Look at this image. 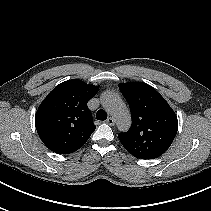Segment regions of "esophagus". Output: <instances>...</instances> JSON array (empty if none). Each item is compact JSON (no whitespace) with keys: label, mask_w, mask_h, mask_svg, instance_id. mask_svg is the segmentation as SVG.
<instances>
[{"label":"esophagus","mask_w":211,"mask_h":211,"mask_svg":"<svg viewBox=\"0 0 211 211\" xmlns=\"http://www.w3.org/2000/svg\"><path fill=\"white\" fill-rule=\"evenodd\" d=\"M106 123L109 124V125H114L115 124V120L111 117H109L107 120H106Z\"/></svg>","instance_id":"1"}]
</instances>
